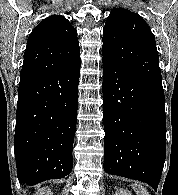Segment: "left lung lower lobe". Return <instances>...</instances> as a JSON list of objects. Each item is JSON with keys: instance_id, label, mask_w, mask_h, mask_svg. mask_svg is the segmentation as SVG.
<instances>
[{"instance_id": "obj_1", "label": "left lung lower lobe", "mask_w": 178, "mask_h": 195, "mask_svg": "<svg viewBox=\"0 0 178 195\" xmlns=\"http://www.w3.org/2000/svg\"><path fill=\"white\" fill-rule=\"evenodd\" d=\"M103 62V168L157 190L166 154L162 84Z\"/></svg>"}]
</instances>
